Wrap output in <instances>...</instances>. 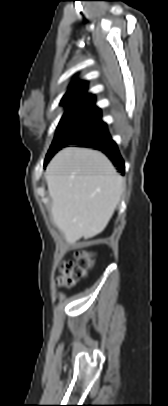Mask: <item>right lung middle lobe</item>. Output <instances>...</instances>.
Returning a JSON list of instances; mask_svg holds the SVG:
<instances>
[{
	"instance_id": "obj_1",
	"label": "right lung middle lobe",
	"mask_w": 168,
	"mask_h": 406,
	"mask_svg": "<svg viewBox=\"0 0 168 406\" xmlns=\"http://www.w3.org/2000/svg\"><path fill=\"white\" fill-rule=\"evenodd\" d=\"M106 128L101 120V110L95 106L67 108L62 116L45 163L61 148Z\"/></svg>"
}]
</instances>
